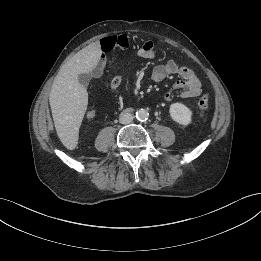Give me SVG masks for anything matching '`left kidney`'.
I'll use <instances>...</instances> for the list:
<instances>
[{
  "label": "left kidney",
  "instance_id": "left-kidney-1",
  "mask_svg": "<svg viewBox=\"0 0 261 261\" xmlns=\"http://www.w3.org/2000/svg\"><path fill=\"white\" fill-rule=\"evenodd\" d=\"M172 120L180 125L187 126L192 121V111L182 103H173L169 109Z\"/></svg>",
  "mask_w": 261,
  "mask_h": 261
}]
</instances>
